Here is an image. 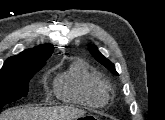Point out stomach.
Masks as SVG:
<instances>
[{
	"label": "stomach",
	"mask_w": 165,
	"mask_h": 120,
	"mask_svg": "<svg viewBox=\"0 0 165 120\" xmlns=\"http://www.w3.org/2000/svg\"><path fill=\"white\" fill-rule=\"evenodd\" d=\"M80 119V120H90V119H98L96 116L92 115V114H86L83 113L79 116L76 117V120Z\"/></svg>",
	"instance_id": "obj_1"
}]
</instances>
